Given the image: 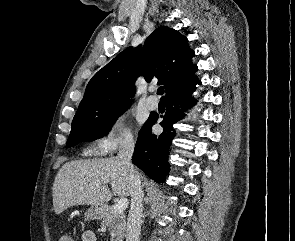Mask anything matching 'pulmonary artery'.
I'll use <instances>...</instances> for the list:
<instances>
[{
  "label": "pulmonary artery",
  "instance_id": "obj_1",
  "mask_svg": "<svg viewBox=\"0 0 295 241\" xmlns=\"http://www.w3.org/2000/svg\"><path fill=\"white\" fill-rule=\"evenodd\" d=\"M146 105L149 109L154 110L158 107V101L154 96H149L146 99Z\"/></svg>",
  "mask_w": 295,
  "mask_h": 241
}]
</instances>
